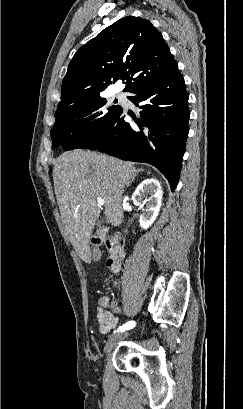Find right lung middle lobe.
Returning <instances> with one entry per match:
<instances>
[{"label":"right lung middle lobe","instance_id":"dd1d6c3e","mask_svg":"<svg viewBox=\"0 0 243 409\" xmlns=\"http://www.w3.org/2000/svg\"><path fill=\"white\" fill-rule=\"evenodd\" d=\"M106 103V99L99 96L57 109L50 132L52 147L62 146L65 151L75 149L87 136L108 126L121 106H107Z\"/></svg>","mask_w":243,"mask_h":409}]
</instances>
